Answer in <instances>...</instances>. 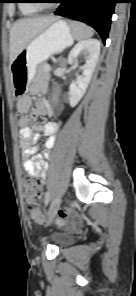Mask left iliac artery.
Returning <instances> with one entry per match:
<instances>
[{
  "instance_id": "1",
  "label": "left iliac artery",
  "mask_w": 136,
  "mask_h": 296,
  "mask_svg": "<svg viewBox=\"0 0 136 296\" xmlns=\"http://www.w3.org/2000/svg\"><path fill=\"white\" fill-rule=\"evenodd\" d=\"M50 194L47 192L46 193V196H45V205H48L49 204V201H50Z\"/></svg>"
}]
</instances>
